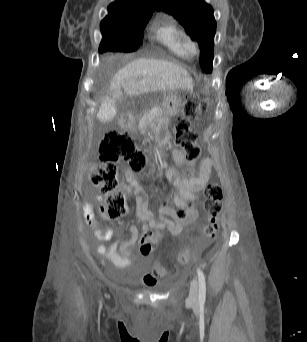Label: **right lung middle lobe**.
<instances>
[{
    "label": "right lung middle lobe",
    "mask_w": 307,
    "mask_h": 342,
    "mask_svg": "<svg viewBox=\"0 0 307 342\" xmlns=\"http://www.w3.org/2000/svg\"><path fill=\"white\" fill-rule=\"evenodd\" d=\"M103 39L99 46V52H133L137 50L141 44L142 35L130 34H105L102 33Z\"/></svg>",
    "instance_id": "obj_1"
}]
</instances>
